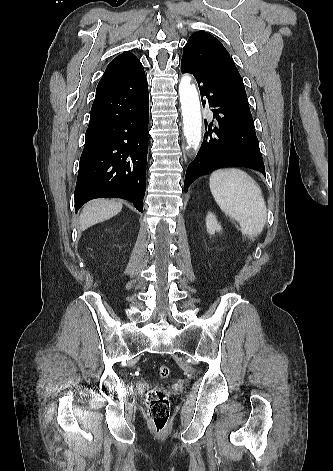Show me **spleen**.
Returning <instances> with one entry per match:
<instances>
[{
	"mask_svg": "<svg viewBox=\"0 0 333 471\" xmlns=\"http://www.w3.org/2000/svg\"><path fill=\"white\" fill-rule=\"evenodd\" d=\"M211 193L220 209L237 221L242 233L254 239L263 230L267 209L259 185L245 171L219 169L209 178Z\"/></svg>",
	"mask_w": 333,
	"mask_h": 471,
	"instance_id": "spleen-1",
	"label": "spleen"
}]
</instances>
